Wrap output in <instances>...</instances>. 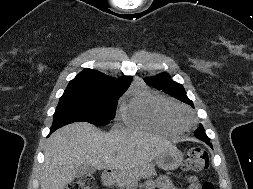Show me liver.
<instances>
[{
    "instance_id": "6515ba94",
    "label": "liver",
    "mask_w": 253,
    "mask_h": 189,
    "mask_svg": "<svg viewBox=\"0 0 253 189\" xmlns=\"http://www.w3.org/2000/svg\"><path fill=\"white\" fill-rule=\"evenodd\" d=\"M175 146L164 137L132 129L104 133L94 125L77 122L53 133L44 150L41 189H63L76 177L80 165L95 170H119L134 187L146 175L148 164Z\"/></svg>"
}]
</instances>
